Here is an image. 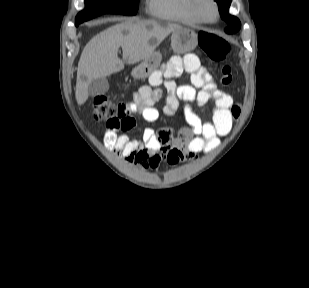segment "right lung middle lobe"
Masks as SVG:
<instances>
[{
  "label": "right lung middle lobe",
  "instance_id": "obj_1",
  "mask_svg": "<svg viewBox=\"0 0 309 288\" xmlns=\"http://www.w3.org/2000/svg\"><path fill=\"white\" fill-rule=\"evenodd\" d=\"M85 4V9L76 16V26L106 13L135 15L138 11L139 0H85Z\"/></svg>",
  "mask_w": 309,
  "mask_h": 288
}]
</instances>
